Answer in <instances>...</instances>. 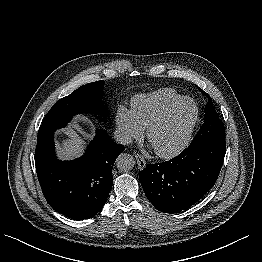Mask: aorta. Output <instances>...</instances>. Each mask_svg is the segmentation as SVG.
Here are the masks:
<instances>
[{"label": "aorta", "instance_id": "aorta-1", "mask_svg": "<svg viewBox=\"0 0 262 262\" xmlns=\"http://www.w3.org/2000/svg\"><path fill=\"white\" fill-rule=\"evenodd\" d=\"M135 165V160L132 155L127 153L120 154L116 159V166L121 171H129Z\"/></svg>", "mask_w": 262, "mask_h": 262}]
</instances>
